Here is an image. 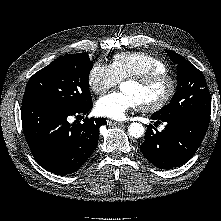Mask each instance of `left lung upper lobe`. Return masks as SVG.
<instances>
[{
    "label": "left lung upper lobe",
    "instance_id": "1",
    "mask_svg": "<svg viewBox=\"0 0 221 221\" xmlns=\"http://www.w3.org/2000/svg\"><path fill=\"white\" fill-rule=\"evenodd\" d=\"M165 51L177 64L178 88L171 102L154 115L159 118L210 116V93L203 74L181 55L174 51Z\"/></svg>",
    "mask_w": 221,
    "mask_h": 221
}]
</instances>
